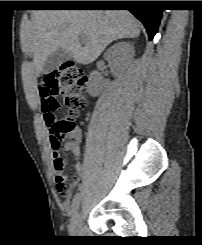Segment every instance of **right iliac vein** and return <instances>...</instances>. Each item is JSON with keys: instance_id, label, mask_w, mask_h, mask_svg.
<instances>
[{"instance_id": "right-iliac-vein-1", "label": "right iliac vein", "mask_w": 202, "mask_h": 245, "mask_svg": "<svg viewBox=\"0 0 202 245\" xmlns=\"http://www.w3.org/2000/svg\"><path fill=\"white\" fill-rule=\"evenodd\" d=\"M82 222V212L78 208L74 211L71 223H70V232L72 235H79V228Z\"/></svg>"}]
</instances>
